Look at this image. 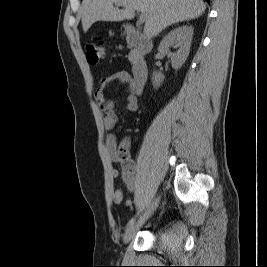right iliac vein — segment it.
<instances>
[{
  "instance_id": "1",
  "label": "right iliac vein",
  "mask_w": 267,
  "mask_h": 267,
  "mask_svg": "<svg viewBox=\"0 0 267 267\" xmlns=\"http://www.w3.org/2000/svg\"><path fill=\"white\" fill-rule=\"evenodd\" d=\"M159 203V197H157L154 202L151 204L148 212L143 216V218H141L136 224H133L132 226H130L129 228H127L124 237H123V241L125 243H128L133 236L135 235V233L137 232V230L142 226V224L145 222V220L155 211V209L157 208Z\"/></svg>"
}]
</instances>
